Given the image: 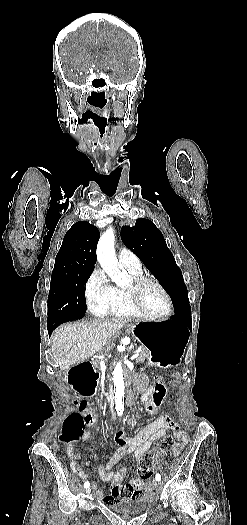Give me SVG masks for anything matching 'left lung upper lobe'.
Wrapping results in <instances>:
<instances>
[{
  "instance_id": "5c2ea615",
  "label": "left lung upper lobe",
  "mask_w": 247,
  "mask_h": 525,
  "mask_svg": "<svg viewBox=\"0 0 247 525\" xmlns=\"http://www.w3.org/2000/svg\"><path fill=\"white\" fill-rule=\"evenodd\" d=\"M121 239L168 292L175 314L191 311L181 270L155 224L148 219H138L135 226L122 227Z\"/></svg>"
}]
</instances>
